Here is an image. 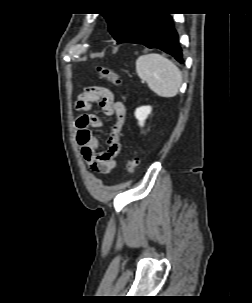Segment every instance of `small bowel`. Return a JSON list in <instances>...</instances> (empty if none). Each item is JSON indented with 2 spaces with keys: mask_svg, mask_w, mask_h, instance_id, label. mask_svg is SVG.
Wrapping results in <instances>:
<instances>
[{
  "mask_svg": "<svg viewBox=\"0 0 252 303\" xmlns=\"http://www.w3.org/2000/svg\"><path fill=\"white\" fill-rule=\"evenodd\" d=\"M98 104L103 112L115 117V123L107 138V150L98 152V139L92 129L102 125L101 120L92 111ZM77 108L83 113L76 122V140L81 154L91 170L108 174L117 165V155L121 151L120 134L126 117L123 103L115 101L113 93L101 86H87L80 94Z\"/></svg>",
  "mask_w": 252,
  "mask_h": 303,
  "instance_id": "small-bowel-1",
  "label": "small bowel"
}]
</instances>
